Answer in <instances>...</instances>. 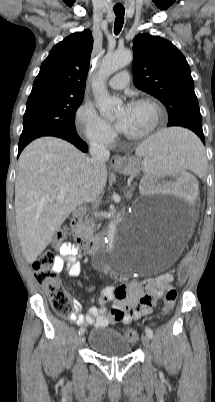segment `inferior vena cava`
Here are the masks:
<instances>
[{"label": "inferior vena cava", "instance_id": "obj_1", "mask_svg": "<svg viewBox=\"0 0 215 402\" xmlns=\"http://www.w3.org/2000/svg\"><path fill=\"white\" fill-rule=\"evenodd\" d=\"M89 152L91 155V163L95 171L104 167L110 157L108 148L103 143L95 140L90 142Z\"/></svg>", "mask_w": 215, "mask_h": 402}]
</instances>
